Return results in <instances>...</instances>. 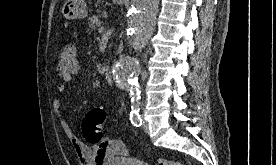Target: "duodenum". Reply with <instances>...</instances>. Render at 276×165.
<instances>
[{
    "mask_svg": "<svg viewBox=\"0 0 276 165\" xmlns=\"http://www.w3.org/2000/svg\"><path fill=\"white\" fill-rule=\"evenodd\" d=\"M104 76L108 81L112 80V72H111V67L110 66H106L104 69Z\"/></svg>",
    "mask_w": 276,
    "mask_h": 165,
    "instance_id": "obj_1",
    "label": "duodenum"
}]
</instances>
